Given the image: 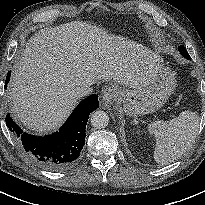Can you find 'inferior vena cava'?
Listing matches in <instances>:
<instances>
[{"mask_svg":"<svg viewBox=\"0 0 205 205\" xmlns=\"http://www.w3.org/2000/svg\"><path fill=\"white\" fill-rule=\"evenodd\" d=\"M95 81L87 80L81 83L80 85L76 86L73 90V94L78 99L84 96H87L92 93L93 89L91 85H93Z\"/></svg>","mask_w":205,"mask_h":205,"instance_id":"inferior-vena-cava-1","label":"inferior vena cava"}]
</instances>
